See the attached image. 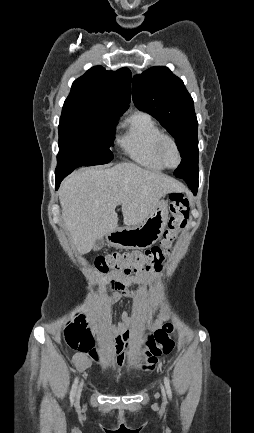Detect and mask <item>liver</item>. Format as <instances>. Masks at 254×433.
Masks as SVG:
<instances>
[{"label": "liver", "instance_id": "6515ba94", "mask_svg": "<svg viewBox=\"0 0 254 433\" xmlns=\"http://www.w3.org/2000/svg\"><path fill=\"white\" fill-rule=\"evenodd\" d=\"M180 190L174 179L133 163L84 168L60 187L62 218L78 252L86 254L98 239L117 229L118 205L124 224L132 227L153 212L162 196Z\"/></svg>", "mask_w": 254, "mask_h": 433}]
</instances>
